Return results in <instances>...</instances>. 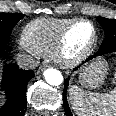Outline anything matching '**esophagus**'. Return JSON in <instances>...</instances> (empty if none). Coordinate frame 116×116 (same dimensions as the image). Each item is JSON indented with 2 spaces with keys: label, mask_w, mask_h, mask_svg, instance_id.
<instances>
[{
  "label": "esophagus",
  "mask_w": 116,
  "mask_h": 116,
  "mask_svg": "<svg viewBox=\"0 0 116 116\" xmlns=\"http://www.w3.org/2000/svg\"><path fill=\"white\" fill-rule=\"evenodd\" d=\"M47 67H48V65H42V66H40L39 69H38V73L42 72Z\"/></svg>",
  "instance_id": "1"
}]
</instances>
